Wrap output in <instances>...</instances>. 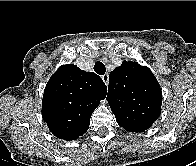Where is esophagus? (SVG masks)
Returning <instances> with one entry per match:
<instances>
[{
    "label": "esophagus",
    "mask_w": 196,
    "mask_h": 166,
    "mask_svg": "<svg viewBox=\"0 0 196 166\" xmlns=\"http://www.w3.org/2000/svg\"><path fill=\"white\" fill-rule=\"evenodd\" d=\"M102 80L104 81V83H105L106 85H108V83H109V75H108V74H104V75L102 76Z\"/></svg>",
    "instance_id": "obj_1"
}]
</instances>
